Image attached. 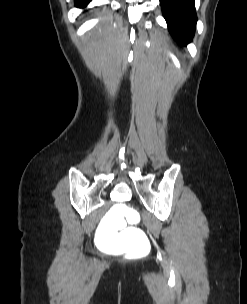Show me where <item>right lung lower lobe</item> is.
Instances as JSON below:
<instances>
[{
  "label": "right lung lower lobe",
  "instance_id": "98d812e1",
  "mask_svg": "<svg viewBox=\"0 0 247 304\" xmlns=\"http://www.w3.org/2000/svg\"><path fill=\"white\" fill-rule=\"evenodd\" d=\"M91 0H75L76 7H85Z\"/></svg>",
  "mask_w": 247,
  "mask_h": 304
}]
</instances>
